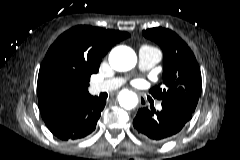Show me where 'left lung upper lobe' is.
<instances>
[{"label":"left lung upper lobe","mask_w":240,"mask_h":160,"mask_svg":"<svg viewBox=\"0 0 240 160\" xmlns=\"http://www.w3.org/2000/svg\"><path fill=\"white\" fill-rule=\"evenodd\" d=\"M143 35L156 42L163 50V85L150 92L163 104H171L194 113L201 95V72L188 45L172 30L155 27Z\"/></svg>","instance_id":"1"}]
</instances>
